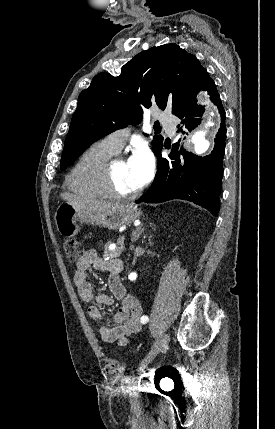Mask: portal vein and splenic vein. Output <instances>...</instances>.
<instances>
[{
	"instance_id": "portal-vein-and-splenic-vein-1",
	"label": "portal vein and splenic vein",
	"mask_w": 275,
	"mask_h": 429,
	"mask_svg": "<svg viewBox=\"0 0 275 429\" xmlns=\"http://www.w3.org/2000/svg\"><path fill=\"white\" fill-rule=\"evenodd\" d=\"M121 239V242L119 243L121 246H123V244H124V238L122 237V238H120ZM116 246L115 245H112V246H110L109 248L110 249H114Z\"/></svg>"
}]
</instances>
